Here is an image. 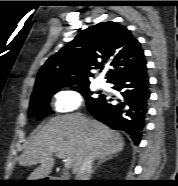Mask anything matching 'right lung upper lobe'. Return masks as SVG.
Wrapping results in <instances>:
<instances>
[{
    "label": "right lung upper lobe",
    "instance_id": "right-lung-upper-lobe-1",
    "mask_svg": "<svg viewBox=\"0 0 178 186\" xmlns=\"http://www.w3.org/2000/svg\"><path fill=\"white\" fill-rule=\"evenodd\" d=\"M143 61L141 45L126 27L102 22L81 31L47 60L37 75L32 95L43 89H59L77 82L80 86L89 85L88 78L79 81L80 76L88 69H103L105 64L113 67L106 74L109 82L122 71Z\"/></svg>",
    "mask_w": 178,
    "mask_h": 186
}]
</instances>
